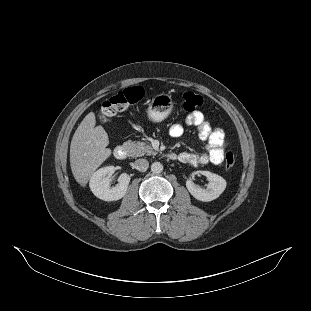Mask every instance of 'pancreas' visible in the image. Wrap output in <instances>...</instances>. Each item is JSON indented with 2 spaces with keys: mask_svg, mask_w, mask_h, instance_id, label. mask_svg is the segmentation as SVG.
I'll return each instance as SVG.
<instances>
[{
  "mask_svg": "<svg viewBox=\"0 0 311 311\" xmlns=\"http://www.w3.org/2000/svg\"><path fill=\"white\" fill-rule=\"evenodd\" d=\"M126 148L129 156L131 157H141L144 155H156V152L153 150L152 146L145 142H134L128 140L123 143Z\"/></svg>",
  "mask_w": 311,
  "mask_h": 311,
  "instance_id": "1",
  "label": "pancreas"
}]
</instances>
